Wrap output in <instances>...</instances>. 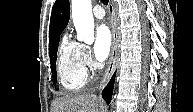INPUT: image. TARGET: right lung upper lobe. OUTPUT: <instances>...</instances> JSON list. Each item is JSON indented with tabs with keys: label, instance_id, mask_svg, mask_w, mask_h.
I'll use <instances>...</instances> for the list:
<instances>
[{
	"label": "right lung upper lobe",
	"instance_id": "1",
	"mask_svg": "<svg viewBox=\"0 0 193 112\" xmlns=\"http://www.w3.org/2000/svg\"><path fill=\"white\" fill-rule=\"evenodd\" d=\"M70 19L69 0H56L52 9L49 29V48L54 44Z\"/></svg>",
	"mask_w": 193,
	"mask_h": 112
}]
</instances>
